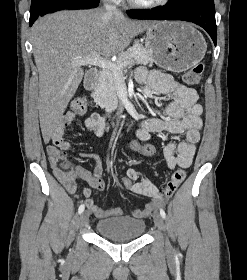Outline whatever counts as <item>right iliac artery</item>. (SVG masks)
<instances>
[{
	"instance_id": "obj_1",
	"label": "right iliac artery",
	"mask_w": 247,
	"mask_h": 280,
	"mask_svg": "<svg viewBox=\"0 0 247 280\" xmlns=\"http://www.w3.org/2000/svg\"><path fill=\"white\" fill-rule=\"evenodd\" d=\"M84 209H85L84 204H81L78 208V213L81 214L84 211Z\"/></svg>"
}]
</instances>
